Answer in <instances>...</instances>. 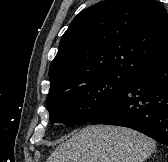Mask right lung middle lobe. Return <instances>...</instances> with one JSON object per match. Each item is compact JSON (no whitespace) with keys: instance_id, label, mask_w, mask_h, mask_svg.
<instances>
[{"instance_id":"dd1d6c3e","label":"right lung middle lobe","mask_w":168,"mask_h":162,"mask_svg":"<svg viewBox=\"0 0 168 162\" xmlns=\"http://www.w3.org/2000/svg\"><path fill=\"white\" fill-rule=\"evenodd\" d=\"M130 77L121 73L103 74L50 91L46 101L50 122L66 126L91 122L110 104Z\"/></svg>"}]
</instances>
